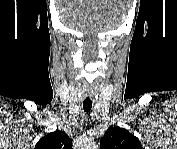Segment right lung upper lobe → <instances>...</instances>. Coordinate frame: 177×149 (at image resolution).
Masks as SVG:
<instances>
[{
    "instance_id": "cb5924a9",
    "label": "right lung upper lobe",
    "mask_w": 177,
    "mask_h": 149,
    "mask_svg": "<svg viewBox=\"0 0 177 149\" xmlns=\"http://www.w3.org/2000/svg\"><path fill=\"white\" fill-rule=\"evenodd\" d=\"M35 149H72V140L65 132L56 130L42 137Z\"/></svg>"
}]
</instances>
